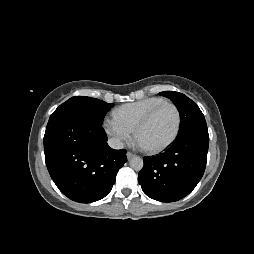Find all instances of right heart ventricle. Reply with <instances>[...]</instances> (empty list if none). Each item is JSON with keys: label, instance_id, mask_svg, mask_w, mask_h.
<instances>
[{"label": "right heart ventricle", "instance_id": "obj_1", "mask_svg": "<svg viewBox=\"0 0 254 254\" xmlns=\"http://www.w3.org/2000/svg\"><path fill=\"white\" fill-rule=\"evenodd\" d=\"M166 101L161 97H148L123 104L113 111V115L133 130L140 120L155 106Z\"/></svg>", "mask_w": 254, "mask_h": 254}]
</instances>
